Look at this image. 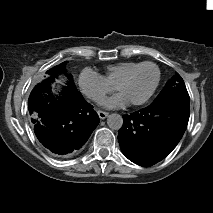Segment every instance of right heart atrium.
I'll return each mask as SVG.
<instances>
[{"instance_id": "obj_1", "label": "right heart atrium", "mask_w": 213, "mask_h": 213, "mask_svg": "<svg viewBox=\"0 0 213 213\" xmlns=\"http://www.w3.org/2000/svg\"><path fill=\"white\" fill-rule=\"evenodd\" d=\"M82 92L92 101L100 103L113 91V87L97 72L84 69L78 78Z\"/></svg>"}]
</instances>
